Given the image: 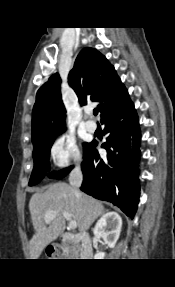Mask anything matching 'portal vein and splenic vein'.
Returning a JSON list of instances; mask_svg holds the SVG:
<instances>
[{"label":"portal vein and splenic vein","instance_id":"portal-vein-and-splenic-vein-1","mask_svg":"<svg viewBox=\"0 0 175 287\" xmlns=\"http://www.w3.org/2000/svg\"><path fill=\"white\" fill-rule=\"evenodd\" d=\"M57 215H58L57 212H51V213L47 214V215L45 216V222H46V223H49V222H50L52 219H54ZM62 215H63V217H64L67 221H69V228H70V229H75V228L77 227V222L71 219L69 213L63 212Z\"/></svg>","mask_w":175,"mask_h":287}]
</instances>
